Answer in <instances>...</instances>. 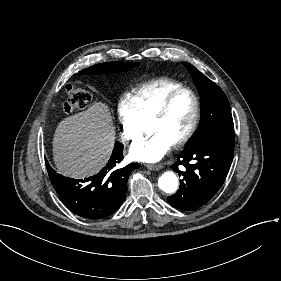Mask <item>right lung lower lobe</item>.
I'll use <instances>...</instances> for the list:
<instances>
[{
    "label": "right lung lower lobe",
    "mask_w": 281,
    "mask_h": 281,
    "mask_svg": "<svg viewBox=\"0 0 281 281\" xmlns=\"http://www.w3.org/2000/svg\"><path fill=\"white\" fill-rule=\"evenodd\" d=\"M123 160V145L116 142L110 160L94 176L72 179L56 173L48 164L50 180L64 204L86 219H101L113 214L121 206L126 194L127 180L138 163L118 168Z\"/></svg>",
    "instance_id": "right-lung-lower-lobe-1"
}]
</instances>
